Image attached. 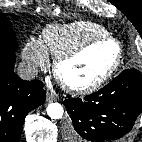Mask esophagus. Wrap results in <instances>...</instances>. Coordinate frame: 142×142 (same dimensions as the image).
<instances>
[{
  "label": "esophagus",
  "mask_w": 142,
  "mask_h": 142,
  "mask_svg": "<svg viewBox=\"0 0 142 142\" xmlns=\"http://www.w3.org/2000/svg\"><path fill=\"white\" fill-rule=\"evenodd\" d=\"M54 100V95L51 92H47L46 101L52 102Z\"/></svg>",
  "instance_id": "34e87169"
}]
</instances>
